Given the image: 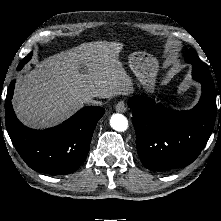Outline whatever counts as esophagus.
Listing matches in <instances>:
<instances>
[{
	"label": "esophagus",
	"instance_id": "1",
	"mask_svg": "<svg viewBox=\"0 0 221 221\" xmlns=\"http://www.w3.org/2000/svg\"><path fill=\"white\" fill-rule=\"evenodd\" d=\"M115 109L117 112H125L127 107H126V103L124 101H119L116 106H115Z\"/></svg>",
	"mask_w": 221,
	"mask_h": 221
}]
</instances>
